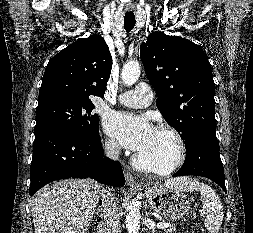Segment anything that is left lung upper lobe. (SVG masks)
I'll use <instances>...</instances> for the list:
<instances>
[{
	"mask_svg": "<svg viewBox=\"0 0 253 233\" xmlns=\"http://www.w3.org/2000/svg\"><path fill=\"white\" fill-rule=\"evenodd\" d=\"M156 105L166 122L189 145L200 133L216 135L211 65L202 48L178 36L151 33L140 47Z\"/></svg>",
	"mask_w": 253,
	"mask_h": 233,
	"instance_id": "1",
	"label": "left lung upper lobe"
}]
</instances>
